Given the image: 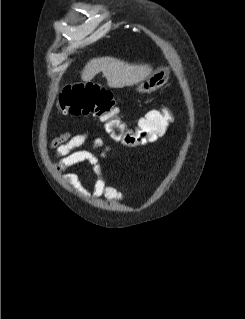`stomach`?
<instances>
[{"instance_id": "obj_1", "label": "stomach", "mask_w": 245, "mask_h": 319, "mask_svg": "<svg viewBox=\"0 0 245 319\" xmlns=\"http://www.w3.org/2000/svg\"><path fill=\"white\" fill-rule=\"evenodd\" d=\"M169 68L159 67L157 70L148 75L145 79L136 85V91L139 93H151L164 86L169 79Z\"/></svg>"}]
</instances>
